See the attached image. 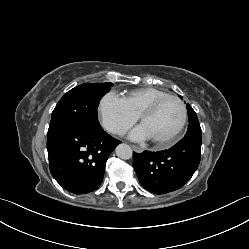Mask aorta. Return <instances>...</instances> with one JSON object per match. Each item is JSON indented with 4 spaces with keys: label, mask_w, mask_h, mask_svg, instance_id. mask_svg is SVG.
Wrapping results in <instances>:
<instances>
[{
    "label": "aorta",
    "mask_w": 249,
    "mask_h": 249,
    "mask_svg": "<svg viewBox=\"0 0 249 249\" xmlns=\"http://www.w3.org/2000/svg\"><path fill=\"white\" fill-rule=\"evenodd\" d=\"M116 155L123 160H128L132 157V149L127 144H119L116 147Z\"/></svg>",
    "instance_id": "aorta-1"
}]
</instances>
